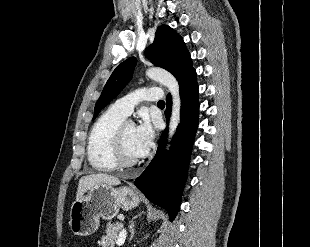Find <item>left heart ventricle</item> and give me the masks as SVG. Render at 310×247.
<instances>
[{"instance_id": "obj_1", "label": "left heart ventricle", "mask_w": 310, "mask_h": 247, "mask_svg": "<svg viewBox=\"0 0 310 247\" xmlns=\"http://www.w3.org/2000/svg\"><path fill=\"white\" fill-rule=\"evenodd\" d=\"M135 132L136 128L133 124H128L124 133V147L127 157L131 159L139 158L135 148Z\"/></svg>"}]
</instances>
